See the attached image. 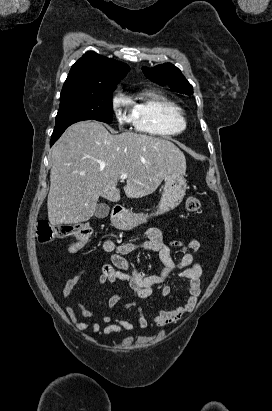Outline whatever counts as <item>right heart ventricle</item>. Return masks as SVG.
Returning <instances> with one entry per match:
<instances>
[{
	"label": "right heart ventricle",
	"instance_id": "1",
	"mask_svg": "<svg viewBox=\"0 0 272 411\" xmlns=\"http://www.w3.org/2000/svg\"><path fill=\"white\" fill-rule=\"evenodd\" d=\"M126 98L132 107L133 122L138 131L165 137L177 135L186 128L182 108L163 95L145 91L136 97Z\"/></svg>",
	"mask_w": 272,
	"mask_h": 411
}]
</instances>
